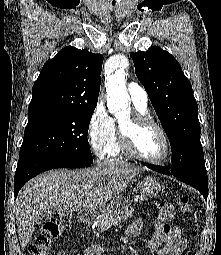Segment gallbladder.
<instances>
[{"instance_id":"bac80fb5","label":"gallbladder","mask_w":221,"mask_h":255,"mask_svg":"<svg viewBox=\"0 0 221 255\" xmlns=\"http://www.w3.org/2000/svg\"><path fill=\"white\" fill-rule=\"evenodd\" d=\"M52 214H53L52 210L44 212L40 217L37 218L36 224L40 225L42 223H45L47 220L51 218Z\"/></svg>"}]
</instances>
